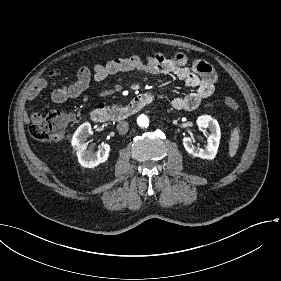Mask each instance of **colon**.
Wrapping results in <instances>:
<instances>
[{"label":"colon","instance_id":"colon-1","mask_svg":"<svg viewBox=\"0 0 281 281\" xmlns=\"http://www.w3.org/2000/svg\"><path fill=\"white\" fill-rule=\"evenodd\" d=\"M224 105L234 109L238 102L231 96L225 97ZM67 119L62 113H50L35 119L29 128L31 136L41 142H57L63 138Z\"/></svg>","mask_w":281,"mask_h":281}]
</instances>
